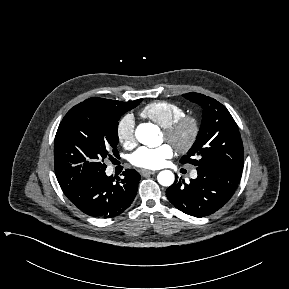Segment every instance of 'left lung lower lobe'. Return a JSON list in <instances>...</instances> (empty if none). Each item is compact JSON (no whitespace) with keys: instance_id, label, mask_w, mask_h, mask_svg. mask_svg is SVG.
<instances>
[{"instance_id":"obj_1","label":"left lung lower lobe","mask_w":289,"mask_h":289,"mask_svg":"<svg viewBox=\"0 0 289 289\" xmlns=\"http://www.w3.org/2000/svg\"><path fill=\"white\" fill-rule=\"evenodd\" d=\"M242 170L208 165L197 168L198 177L175 182L166 190L168 200L180 211L195 217L208 216L222 208L234 194Z\"/></svg>"}]
</instances>
